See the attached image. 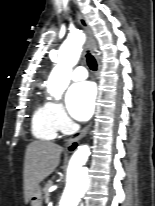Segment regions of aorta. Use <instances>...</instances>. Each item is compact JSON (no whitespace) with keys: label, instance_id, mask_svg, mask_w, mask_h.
Wrapping results in <instances>:
<instances>
[{"label":"aorta","instance_id":"762f6f07","mask_svg":"<svg viewBox=\"0 0 155 206\" xmlns=\"http://www.w3.org/2000/svg\"><path fill=\"white\" fill-rule=\"evenodd\" d=\"M84 42L81 32H72L59 49L57 65L52 70L48 82V93L60 99L68 87L72 68L77 64ZM90 156V148L81 145L72 155L68 171L67 182L58 206H78L81 198L89 188L88 170L85 164Z\"/></svg>","mask_w":155,"mask_h":206}]
</instances>
